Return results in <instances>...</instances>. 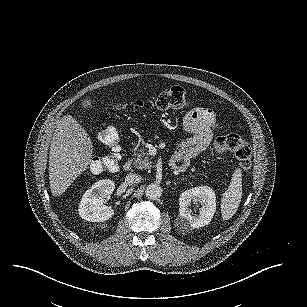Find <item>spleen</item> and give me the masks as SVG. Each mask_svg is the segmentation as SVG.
<instances>
[{
  "mask_svg": "<svg viewBox=\"0 0 307 307\" xmlns=\"http://www.w3.org/2000/svg\"><path fill=\"white\" fill-rule=\"evenodd\" d=\"M242 197L241 172L236 170L233 174L232 183L221 200V213L223 219L231 218L237 211Z\"/></svg>",
  "mask_w": 307,
  "mask_h": 307,
  "instance_id": "1",
  "label": "spleen"
}]
</instances>
